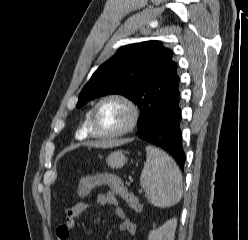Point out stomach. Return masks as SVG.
Wrapping results in <instances>:
<instances>
[{
    "instance_id": "stomach-1",
    "label": "stomach",
    "mask_w": 248,
    "mask_h": 240,
    "mask_svg": "<svg viewBox=\"0 0 248 240\" xmlns=\"http://www.w3.org/2000/svg\"><path fill=\"white\" fill-rule=\"evenodd\" d=\"M106 163L113 169H118L126 163V157L122 151H114L107 158Z\"/></svg>"
}]
</instances>
